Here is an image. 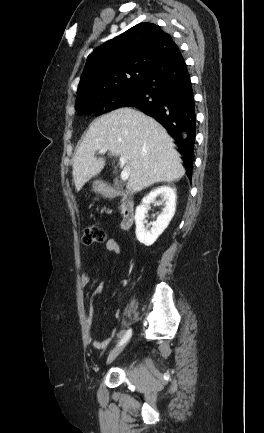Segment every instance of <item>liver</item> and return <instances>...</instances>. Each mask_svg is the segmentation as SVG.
Returning <instances> with one entry per match:
<instances>
[{
  "label": "liver",
  "instance_id": "1",
  "mask_svg": "<svg viewBox=\"0 0 264 433\" xmlns=\"http://www.w3.org/2000/svg\"><path fill=\"white\" fill-rule=\"evenodd\" d=\"M103 148L126 157L130 168L127 189L131 192L176 181L185 174L166 130L142 112L119 108L94 120L78 146L72 172L77 191L104 169L105 160L94 156Z\"/></svg>",
  "mask_w": 264,
  "mask_h": 433
}]
</instances>
